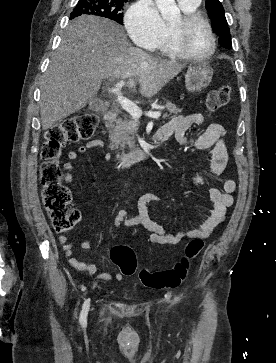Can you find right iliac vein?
Instances as JSON below:
<instances>
[{"mask_svg":"<svg viewBox=\"0 0 276 363\" xmlns=\"http://www.w3.org/2000/svg\"><path fill=\"white\" fill-rule=\"evenodd\" d=\"M89 307H90V301H89V299H87V300H85L82 310H81V315H80L81 318L86 317V315L89 311Z\"/></svg>","mask_w":276,"mask_h":363,"instance_id":"63e3f726","label":"right iliac vein"}]
</instances>
